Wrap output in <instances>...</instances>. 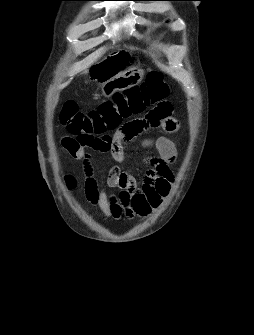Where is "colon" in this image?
I'll return each mask as SVG.
<instances>
[{
    "label": "colon",
    "instance_id": "1",
    "mask_svg": "<svg viewBox=\"0 0 254 335\" xmlns=\"http://www.w3.org/2000/svg\"><path fill=\"white\" fill-rule=\"evenodd\" d=\"M169 93L170 87L163 74L152 71L144 82L124 93H115L112 99L89 113L80 111L73 101L64 102L60 121L87 148L106 152L112 141L108 132L117 130L118 124H125L122 121L129 116L142 113L148 107L154 108L155 104H163L162 100Z\"/></svg>",
    "mask_w": 254,
    "mask_h": 335
}]
</instances>
